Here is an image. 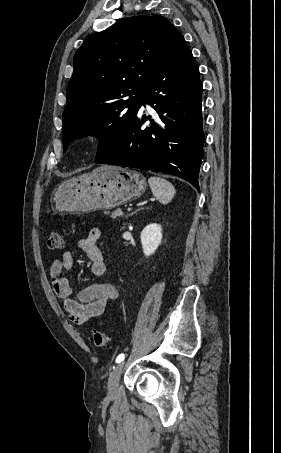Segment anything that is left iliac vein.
<instances>
[{"instance_id": "4c4485c4", "label": "left iliac vein", "mask_w": 281, "mask_h": 453, "mask_svg": "<svg viewBox=\"0 0 281 453\" xmlns=\"http://www.w3.org/2000/svg\"><path fill=\"white\" fill-rule=\"evenodd\" d=\"M123 371H124V363L120 362L116 366V368H114V370L110 372V375L108 378V384H107L108 393L110 395H116L118 393L120 375H121V373H123Z\"/></svg>"}]
</instances>
